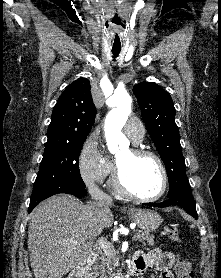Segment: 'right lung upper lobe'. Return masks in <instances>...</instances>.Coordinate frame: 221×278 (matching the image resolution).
Instances as JSON below:
<instances>
[{
  "label": "right lung upper lobe",
  "mask_w": 221,
  "mask_h": 278,
  "mask_svg": "<svg viewBox=\"0 0 221 278\" xmlns=\"http://www.w3.org/2000/svg\"><path fill=\"white\" fill-rule=\"evenodd\" d=\"M95 114L90 82L86 78H78L63 91L53 109L46 144L87 137Z\"/></svg>",
  "instance_id": "right-lung-upper-lobe-1"
}]
</instances>
